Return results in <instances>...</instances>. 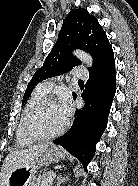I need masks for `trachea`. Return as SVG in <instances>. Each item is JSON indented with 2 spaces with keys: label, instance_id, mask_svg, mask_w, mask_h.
<instances>
[{
  "label": "trachea",
  "instance_id": "obj_1",
  "mask_svg": "<svg viewBox=\"0 0 138 186\" xmlns=\"http://www.w3.org/2000/svg\"><path fill=\"white\" fill-rule=\"evenodd\" d=\"M78 82H79V83H83V81H82V80H78Z\"/></svg>",
  "mask_w": 138,
  "mask_h": 186
}]
</instances>
